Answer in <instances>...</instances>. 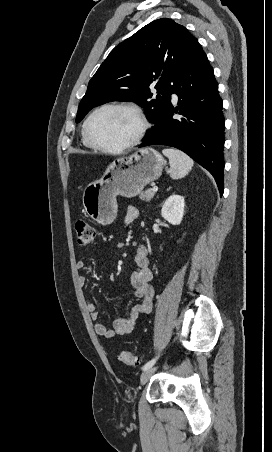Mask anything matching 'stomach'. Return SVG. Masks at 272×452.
I'll return each mask as SVG.
<instances>
[{"label": "stomach", "instance_id": "stomach-1", "mask_svg": "<svg viewBox=\"0 0 272 452\" xmlns=\"http://www.w3.org/2000/svg\"><path fill=\"white\" fill-rule=\"evenodd\" d=\"M164 165V158L153 148L140 149L130 156L115 159L99 180L84 189L85 212L101 225L113 223L118 212L116 197H135L161 176Z\"/></svg>", "mask_w": 272, "mask_h": 452}]
</instances>
